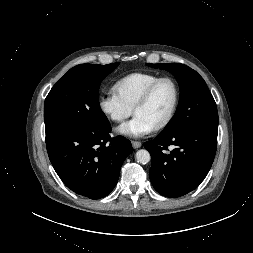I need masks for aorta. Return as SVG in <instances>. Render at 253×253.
I'll list each match as a JSON object with an SVG mask.
<instances>
[{"label": "aorta", "mask_w": 253, "mask_h": 253, "mask_svg": "<svg viewBox=\"0 0 253 253\" xmlns=\"http://www.w3.org/2000/svg\"><path fill=\"white\" fill-rule=\"evenodd\" d=\"M136 160L140 164H147L151 160L150 153L146 149H141L136 153Z\"/></svg>", "instance_id": "762f6f07"}]
</instances>
